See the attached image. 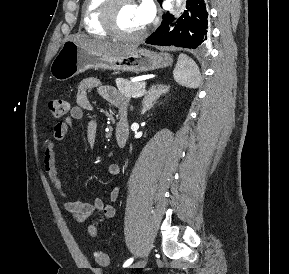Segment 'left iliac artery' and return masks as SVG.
Segmentation results:
<instances>
[{
    "instance_id": "1",
    "label": "left iliac artery",
    "mask_w": 289,
    "mask_h": 274,
    "mask_svg": "<svg viewBox=\"0 0 289 274\" xmlns=\"http://www.w3.org/2000/svg\"><path fill=\"white\" fill-rule=\"evenodd\" d=\"M133 262V258H129L123 264V267H128Z\"/></svg>"
}]
</instances>
